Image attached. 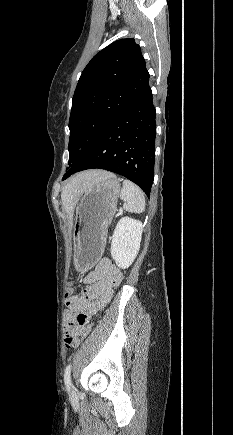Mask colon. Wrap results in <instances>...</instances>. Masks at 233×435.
Segmentation results:
<instances>
[{
	"instance_id": "colon-1",
	"label": "colon",
	"mask_w": 233,
	"mask_h": 435,
	"mask_svg": "<svg viewBox=\"0 0 233 435\" xmlns=\"http://www.w3.org/2000/svg\"><path fill=\"white\" fill-rule=\"evenodd\" d=\"M74 292V288L71 282L66 283V294L71 295ZM64 341L67 347L77 345V339L73 335L71 325L64 326Z\"/></svg>"
}]
</instances>
